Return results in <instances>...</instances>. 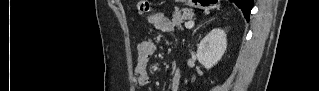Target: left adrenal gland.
<instances>
[{
  "mask_svg": "<svg viewBox=\"0 0 319 91\" xmlns=\"http://www.w3.org/2000/svg\"><path fill=\"white\" fill-rule=\"evenodd\" d=\"M200 27H201V26H199L198 29H199ZM195 32H196V30L194 31V33H195Z\"/></svg>",
  "mask_w": 319,
  "mask_h": 91,
  "instance_id": "a2214340",
  "label": "left adrenal gland"
}]
</instances>
